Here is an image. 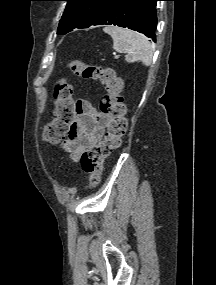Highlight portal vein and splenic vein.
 Masks as SVG:
<instances>
[{"label":"portal vein and splenic vein","instance_id":"portal-vein-and-splenic-vein-1","mask_svg":"<svg viewBox=\"0 0 216 285\" xmlns=\"http://www.w3.org/2000/svg\"><path fill=\"white\" fill-rule=\"evenodd\" d=\"M119 58V55H115V59Z\"/></svg>","mask_w":216,"mask_h":285}]
</instances>
